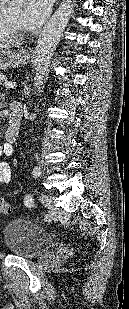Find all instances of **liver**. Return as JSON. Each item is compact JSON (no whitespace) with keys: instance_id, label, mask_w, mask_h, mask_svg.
Wrapping results in <instances>:
<instances>
[{"instance_id":"6515ba94","label":"liver","mask_w":129,"mask_h":309,"mask_svg":"<svg viewBox=\"0 0 129 309\" xmlns=\"http://www.w3.org/2000/svg\"><path fill=\"white\" fill-rule=\"evenodd\" d=\"M1 48H4V45L0 44V49H1Z\"/></svg>"}]
</instances>
